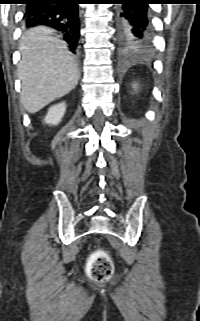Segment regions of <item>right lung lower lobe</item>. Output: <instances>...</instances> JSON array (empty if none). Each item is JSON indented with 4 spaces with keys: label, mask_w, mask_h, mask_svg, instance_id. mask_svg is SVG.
I'll return each instance as SVG.
<instances>
[{
    "label": "right lung lower lobe",
    "mask_w": 200,
    "mask_h": 321,
    "mask_svg": "<svg viewBox=\"0 0 200 321\" xmlns=\"http://www.w3.org/2000/svg\"><path fill=\"white\" fill-rule=\"evenodd\" d=\"M25 26H48L57 30L75 52L79 40L80 0H26Z\"/></svg>",
    "instance_id": "right-lung-lower-lobe-1"
}]
</instances>
